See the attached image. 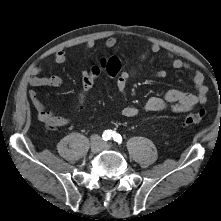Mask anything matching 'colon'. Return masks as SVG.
<instances>
[{
  "instance_id": "5ec220e1",
  "label": "colon",
  "mask_w": 221,
  "mask_h": 221,
  "mask_svg": "<svg viewBox=\"0 0 221 221\" xmlns=\"http://www.w3.org/2000/svg\"><path fill=\"white\" fill-rule=\"evenodd\" d=\"M102 70H104V73L109 78H116L121 73V66L119 60L115 57L103 59L99 64L94 65L90 68L89 74L83 79L82 98L84 97L85 93L93 86L96 78L100 75ZM206 116V109H199L197 112L187 114L184 117V124H199L205 120ZM50 126L54 127L53 125Z\"/></svg>"
}]
</instances>
